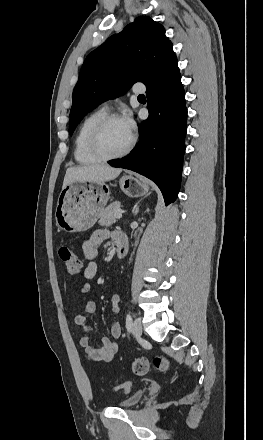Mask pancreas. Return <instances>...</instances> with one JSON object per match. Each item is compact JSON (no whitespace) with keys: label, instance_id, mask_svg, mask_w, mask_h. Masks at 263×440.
I'll list each match as a JSON object with an SVG mask.
<instances>
[{"label":"pancreas","instance_id":"1","mask_svg":"<svg viewBox=\"0 0 263 440\" xmlns=\"http://www.w3.org/2000/svg\"><path fill=\"white\" fill-rule=\"evenodd\" d=\"M120 210V203L113 202L108 205L102 212L99 224L101 226H110L116 222L115 213Z\"/></svg>","mask_w":263,"mask_h":440}]
</instances>
